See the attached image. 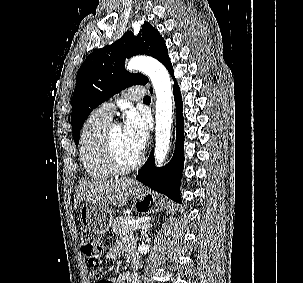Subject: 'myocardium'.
Instances as JSON below:
<instances>
[{
	"mask_svg": "<svg viewBox=\"0 0 303 283\" xmlns=\"http://www.w3.org/2000/svg\"><path fill=\"white\" fill-rule=\"evenodd\" d=\"M119 126L115 122H110L101 139V155L103 162L113 174H126L139 167L142 162V155L139 153L136 159L129 165L122 164L116 154L113 142V129Z\"/></svg>",
	"mask_w": 303,
	"mask_h": 283,
	"instance_id": "f54148a6",
	"label": "myocardium"
}]
</instances>
